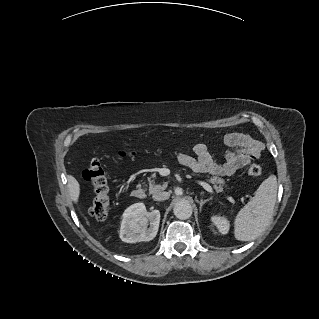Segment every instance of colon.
Returning <instances> with one entry per match:
<instances>
[{"label":"colon","instance_id":"1","mask_svg":"<svg viewBox=\"0 0 319 319\" xmlns=\"http://www.w3.org/2000/svg\"><path fill=\"white\" fill-rule=\"evenodd\" d=\"M134 154V152L127 151L119 153L120 156H133ZM248 173L251 176H260L262 169L259 165L253 164L248 168ZM82 176L90 184L93 192L90 214L96 221L102 222L107 218L110 207V188L99 158L92 157L85 163Z\"/></svg>","mask_w":319,"mask_h":319}]
</instances>
